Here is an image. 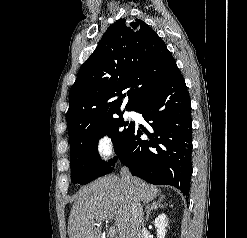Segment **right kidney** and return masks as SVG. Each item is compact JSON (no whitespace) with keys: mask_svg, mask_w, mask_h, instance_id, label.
<instances>
[{"mask_svg":"<svg viewBox=\"0 0 247 238\" xmlns=\"http://www.w3.org/2000/svg\"><path fill=\"white\" fill-rule=\"evenodd\" d=\"M154 226L157 230V238H165L168 219L164 213L158 215L154 221Z\"/></svg>","mask_w":247,"mask_h":238,"instance_id":"right-kidney-1","label":"right kidney"}]
</instances>
